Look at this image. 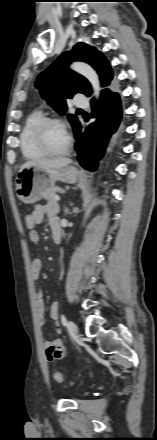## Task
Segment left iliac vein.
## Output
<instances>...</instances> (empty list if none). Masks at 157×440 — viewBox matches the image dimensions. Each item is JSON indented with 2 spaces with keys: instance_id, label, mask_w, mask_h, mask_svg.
I'll return each instance as SVG.
<instances>
[{
  "instance_id": "4c4485c4",
  "label": "left iliac vein",
  "mask_w": 157,
  "mask_h": 440,
  "mask_svg": "<svg viewBox=\"0 0 157 440\" xmlns=\"http://www.w3.org/2000/svg\"><path fill=\"white\" fill-rule=\"evenodd\" d=\"M68 329H69V332H70V334L74 337V338H78L79 337V331H78V328H77V326L75 325V323H73V322H69V325H68Z\"/></svg>"
}]
</instances>
